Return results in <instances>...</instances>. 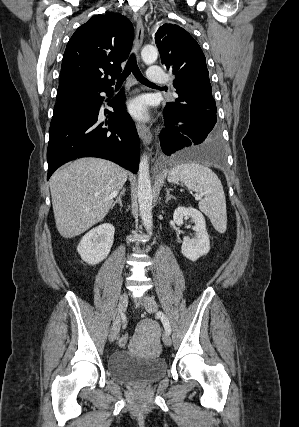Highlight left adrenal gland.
Instances as JSON below:
<instances>
[{"mask_svg":"<svg viewBox=\"0 0 299 427\" xmlns=\"http://www.w3.org/2000/svg\"><path fill=\"white\" fill-rule=\"evenodd\" d=\"M171 198L175 199V197L170 194V190L168 188H166V200H165V202L168 203V201L171 200Z\"/></svg>","mask_w":299,"mask_h":427,"instance_id":"a2214340","label":"left adrenal gland"}]
</instances>
